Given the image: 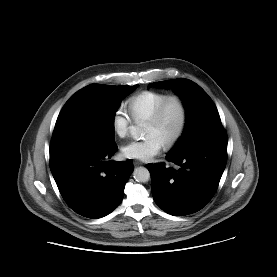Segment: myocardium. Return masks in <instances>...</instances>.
Wrapping results in <instances>:
<instances>
[{
	"instance_id": "1",
	"label": "myocardium",
	"mask_w": 277,
	"mask_h": 277,
	"mask_svg": "<svg viewBox=\"0 0 277 277\" xmlns=\"http://www.w3.org/2000/svg\"><path fill=\"white\" fill-rule=\"evenodd\" d=\"M171 101H176L179 104V107L181 110V120L176 133L164 144V147L166 149H170L174 147L180 141V139L183 137L186 131L187 124H188V107L185 100L180 95H177V94L168 95L159 104V106L156 108L152 116L146 120L147 123L158 124L164 115L167 105Z\"/></svg>"
}]
</instances>
